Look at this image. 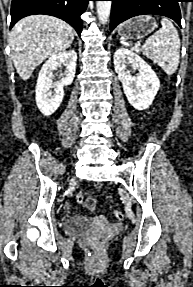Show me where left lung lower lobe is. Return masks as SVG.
<instances>
[{
	"instance_id": "left-lung-lower-lobe-1",
	"label": "left lung lower lobe",
	"mask_w": 193,
	"mask_h": 287,
	"mask_svg": "<svg viewBox=\"0 0 193 287\" xmlns=\"http://www.w3.org/2000/svg\"><path fill=\"white\" fill-rule=\"evenodd\" d=\"M110 30L138 15L156 14L173 19L181 27L180 0H111Z\"/></svg>"
}]
</instances>
